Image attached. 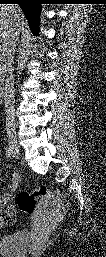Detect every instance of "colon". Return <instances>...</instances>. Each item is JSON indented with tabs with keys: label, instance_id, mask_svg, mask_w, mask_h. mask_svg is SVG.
<instances>
[{
	"label": "colon",
	"instance_id": "1",
	"mask_svg": "<svg viewBox=\"0 0 106 257\" xmlns=\"http://www.w3.org/2000/svg\"><path fill=\"white\" fill-rule=\"evenodd\" d=\"M55 198L60 199L62 195L46 186H41L31 191H20L16 197V204L21 212L33 215L39 207H47Z\"/></svg>",
	"mask_w": 106,
	"mask_h": 257
}]
</instances>
